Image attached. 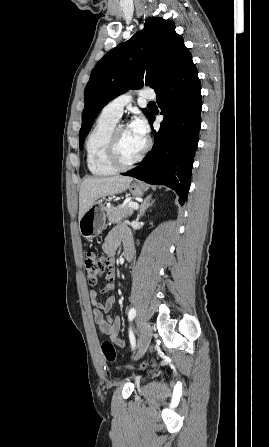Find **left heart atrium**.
I'll list each match as a JSON object with an SVG mask.
<instances>
[{
	"label": "left heart atrium",
	"instance_id": "obj_1",
	"mask_svg": "<svg viewBox=\"0 0 269 447\" xmlns=\"http://www.w3.org/2000/svg\"><path fill=\"white\" fill-rule=\"evenodd\" d=\"M129 127L142 137L144 138L147 137L148 126L145 119L142 116L140 115L135 116L134 119L131 121Z\"/></svg>",
	"mask_w": 269,
	"mask_h": 447
}]
</instances>
